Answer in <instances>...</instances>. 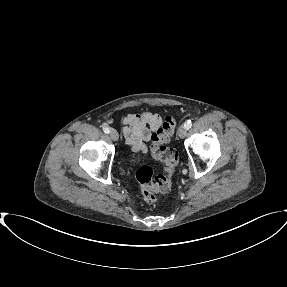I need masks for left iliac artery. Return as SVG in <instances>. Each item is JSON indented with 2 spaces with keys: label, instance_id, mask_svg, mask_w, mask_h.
<instances>
[{
  "label": "left iliac artery",
  "instance_id": "1",
  "mask_svg": "<svg viewBox=\"0 0 287 287\" xmlns=\"http://www.w3.org/2000/svg\"><path fill=\"white\" fill-rule=\"evenodd\" d=\"M191 126H192V122H191V120H188V121L185 123L186 129H190Z\"/></svg>",
  "mask_w": 287,
  "mask_h": 287
}]
</instances>
